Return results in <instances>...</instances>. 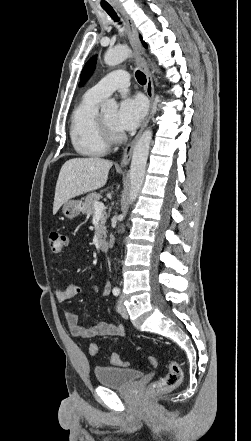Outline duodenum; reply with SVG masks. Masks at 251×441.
I'll use <instances>...</instances> for the list:
<instances>
[{
	"label": "duodenum",
	"instance_id": "1",
	"mask_svg": "<svg viewBox=\"0 0 251 441\" xmlns=\"http://www.w3.org/2000/svg\"><path fill=\"white\" fill-rule=\"evenodd\" d=\"M99 247L101 251L106 252L109 249V242L106 239H102L99 241Z\"/></svg>",
	"mask_w": 251,
	"mask_h": 441
}]
</instances>
